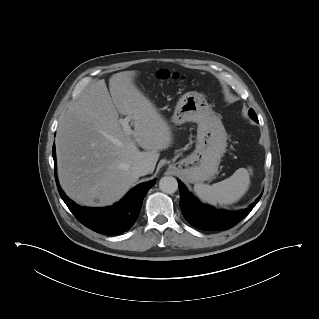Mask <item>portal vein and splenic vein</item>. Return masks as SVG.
<instances>
[{"instance_id":"portal-vein-and-splenic-vein-1","label":"portal vein and splenic vein","mask_w":319,"mask_h":319,"mask_svg":"<svg viewBox=\"0 0 319 319\" xmlns=\"http://www.w3.org/2000/svg\"><path fill=\"white\" fill-rule=\"evenodd\" d=\"M131 120V117H126L124 119H120L119 122L120 124L122 125V128L124 130V132L127 134V135H132L133 134V130L131 129V127L129 126V122Z\"/></svg>"}]
</instances>
